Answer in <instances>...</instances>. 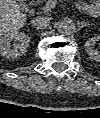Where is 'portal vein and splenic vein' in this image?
Listing matches in <instances>:
<instances>
[{"label":"portal vein and splenic vein","mask_w":100,"mask_h":118,"mask_svg":"<svg viewBox=\"0 0 100 118\" xmlns=\"http://www.w3.org/2000/svg\"><path fill=\"white\" fill-rule=\"evenodd\" d=\"M57 3V0H48L46 5L43 7L44 12H48L51 8H53Z\"/></svg>","instance_id":"18ae733b"}]
</instances>
